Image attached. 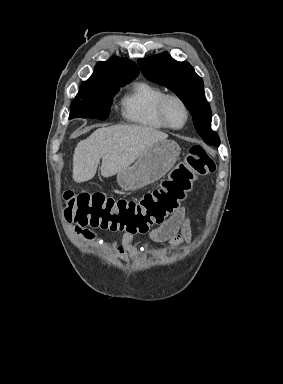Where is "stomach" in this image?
Returning a JSON list of instances; mask_svg holds the SVG:
<instances>
[{"label":"stomach","mask_w":283,"mask_h":384,"mask_svg":"<svg viewBox=\"0 0 283 384\" xmlns=\"http://www.w3.org/2000/svg\"><path fill=\"white\" fill-rule=\"evenodd\" d=\"M180 148L172 140H161L149 146L134 166L117 174V182L125 192H135L163 178L178 160Z\"/></svg>","instance_id":"0dacf381"}]
</instances>
